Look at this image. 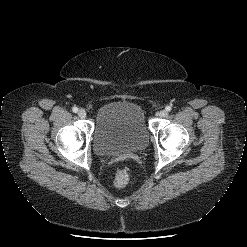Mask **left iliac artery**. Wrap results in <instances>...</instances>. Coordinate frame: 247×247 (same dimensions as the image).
Returning <instances> with one entry per match:
<instances>
[{"label": "left iliac artery", "mask_w": 247, "mask_h": 247, "mask_svg": "<svg viewBox=\"0 0 247 247\" xmlns=\"http://www.w3.org/2000/svg\"><path fill=\"white\" fill-rule=\"evenodd\" d=\"M171 109H172L171 106H167V107H166V110H167V111H170Z\"/></svg>", "instance_id": "left-iliac-artery-1"}]
</instances>
